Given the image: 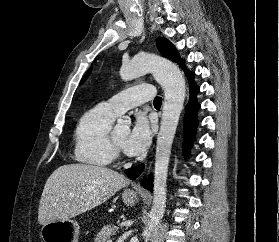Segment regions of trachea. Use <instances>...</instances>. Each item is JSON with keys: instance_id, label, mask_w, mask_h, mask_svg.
Here are the masks:
<instances>
[{"instance_id": "trachea-1", "label": "trachea", "mask_w": 279, "mask_h": 242, "mask_svg": "<svg viewBox=\"0 0 279 242\" xmlns=\"http://www.w3.org/2000/svg\"><path fill=\"white\" fill-rule=\"evenodd\" d=\"M162 103V98L161 97H156L154 99V106H161Z\"/></svg>"}]
</instances>
